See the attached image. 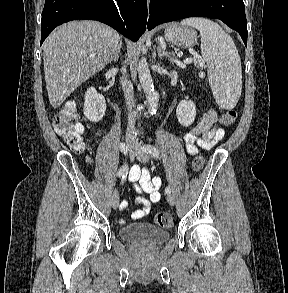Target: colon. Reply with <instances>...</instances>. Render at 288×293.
Listing matches in <instances>:
<instances>
[{
	"label": "colon",
	"mask_w": 288,
	"mask_h": 293,
	"mask_svg": "<svg viewBox=\"0 0 288 293\" xmlns=\"http://www.w3.org/2000/svg\"><path fill=\"white\" fill-rule=\"evenodd\" d=\"M237 117L235 110H228L220 117V123L223 126H231L234 124ZM56 133L61 136L70 148L76 152L83 151L85 147L84 129L82 124L78 121L77 111L74 105H65L55 115L53 121ZM205 159L202 155H197L192 160V169L199 172L203 169ZM155 223L163 228H168L172 225V216L168 212H159L155 215Z\"/></svg>",
	"instance_id": "1"
}]
</instances>
